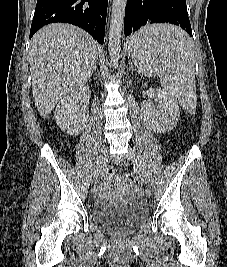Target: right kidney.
I'll list each match as a JSON object with an SVG mask.
<instances>
[{
  "label": "right kidney",
  "instance_id": "obj_1",
  "mask_svg": "<svg viewBox=\"0 0 227 267\" xmlns=\"http://www.w3.org/2000/svg\"><path fill=\"white\" fill-rule=\"evenodd\" d=\"M89 94V87H81L63 97L55 109V121L57 125L69 135H79L86 126L89 118L86 97ZM84 100L81 110L77 103Z\"/></svg>",
  "mask_w": 227,
  "mask_h": 267
}]
</instances>
